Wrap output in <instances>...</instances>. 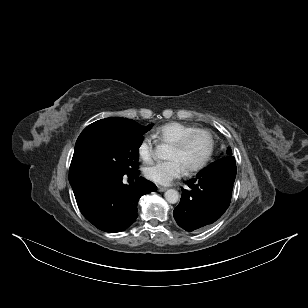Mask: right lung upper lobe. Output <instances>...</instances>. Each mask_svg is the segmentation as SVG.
I'll list each match as a JSON object with an SVG mask.
<instances>
[{
	"instance_id": "right-lung-upper-lobe-1",
	"label": "right lung upper lobe",
	"mask_w": 308,
	"mask_h": 308,
	"mask_svg": "<svg viewBox=\"0 0 308 308\" xmlns=\"http://www.w3.org/2000/svg\"><path fill=\"white\" fill-rule=\"evenodd\" d=\"M134 123H136L133 120L130 119H125V118H106L102 120H98L89 126H87L82 133L80 134L78 141L82 139L84 136L98 130L102 129H108V128H127L131 127ZM81 176L77 175L74 172V164H73V158L70 166V171H69V181L70 184H73L79 180Z\"/></svg>"
}]
</instances>
